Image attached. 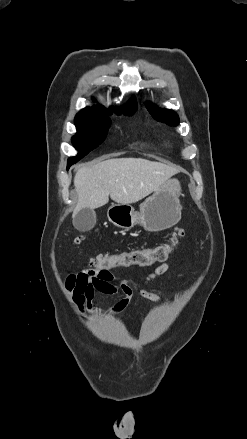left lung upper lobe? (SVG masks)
Wrapping results in <instances>:
<instances>
[{"mask_svg": "<svg viewBox=\"0 0 247 439\" xmlns=\"http://www.w3.org/2000/svg\"><path fill=\"white\" fill-rule=\"evenodd\" d=\"M147 109L151 113V115L158 121L166 122L169 125H177L179 124L178 115L171 110H157L156 107L152 103L146 104Z\"/></svg>", "mask_w": 247, "mask_h": 439, "instance_id": "obj_1", "label": "left lung upper lobe"}]
</instances>
